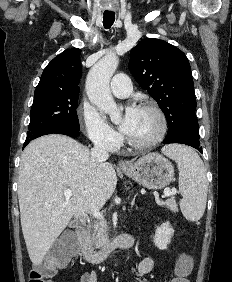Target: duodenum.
<instances>
[{"label": "duodenum", "mask_w": 232, "mask_h": 282, "mask_svg": "<svg viewBox=\"0 0 232 282\" xmlns=\"http://www.w3.org/2000/svg\"><path fill=\"white\" fill-rule=\"evenodd\" d=\"M76 243L86 262L98 264L106 260L113 251L132 247L134 245V238L128 234L119 235L101 249L95 250L87 239L85 227L80 226L76 230Z\"/></svg>", "instance_id": "obj_1"}]
</instances>
